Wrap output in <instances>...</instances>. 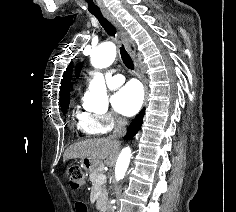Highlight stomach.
I'll use <instances>...</instances> for the list:
<instances>
[{"label": "stomach", "instance_id": "1", "mask_svg": "<svg viewBox=\"0 0 236 212\" xmlns=\"http://www.w3.org/2000/svg\"><path fill=\"white\" fill-rule=\"evenodd\" d=\"M81 167L87 172L91 173L99 166V162L94 159L84 158L80 161Z\"/></svg>", "mask_w": 236, "mask_h": 212}]
</instances>
